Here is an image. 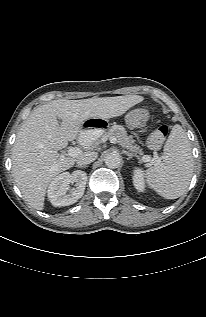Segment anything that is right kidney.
Listing matches in <instances>:
<instances>
[{"label": "right kidney", "instance_id": "right-kidney-1", "mask_svg": "<svg viewBox=\"0 0 206 317\" xmlns=\"http://www.w3.org/2000/svg\"><path fill=\"white\" fill-rule=\"evenodd\" d=\"M87 174L84 171L64 172L56 176L48 187V198L54 206H68L77 202L85 191ZM75 183V188L69 189V184Z\"/></svg>", "mask_w": 206, "mask_h": 317}]
</instances>
